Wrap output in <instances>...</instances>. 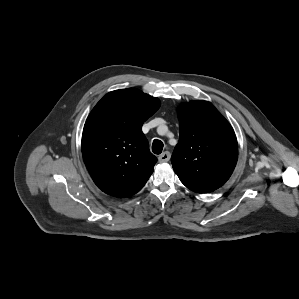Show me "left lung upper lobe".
<instances>
[{
	"label": "left lung upper lobe",
	"instance_id": "left-lung-upper-lobe-1",
	"mask_svg": "<svg viewBox=\"0 0 299 299\" xmlns=\"http://www.w3.org/2000/svg\"><path fill=\"white\" fill-rule=\"evenodd\" d=\"M178 115L180 139L171 157L173 169L190 190L212 192L226 183L236 166L234 130L207 101L182 104Z\"/></svg>",
	"mask_w": 299,
	"mask_h": 299
}]
</instances>
